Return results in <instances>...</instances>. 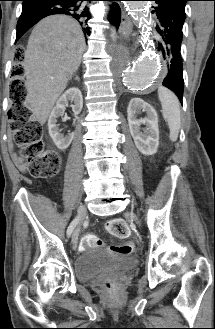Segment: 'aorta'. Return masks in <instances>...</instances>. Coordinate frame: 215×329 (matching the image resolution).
<instances>
[{
    "mask_svg": "<svg viewBox=\"0 0 215 329\" xmlns=\"http://www.w3.org/2000/svg\"><path fill=\"white\" fill-rule=\"evenodd\" d=\"M126 8L130 14L137 18L142 25L147 24L146 6L141 1H127ZM123 77L126 85L134 91L147 90L160 77V62L158 58L151 53H144L135 62L130 60L122 61Z\"/></svg>",
    "mask_w": 215,
    "mask_h": 329,
    "instance_id": "obj_1",
    "label": "aorta"
}]
</instances>
